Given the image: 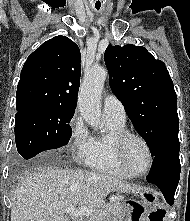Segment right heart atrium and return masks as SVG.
I'll return each mask as SVG.
<instances>
[{
  "label": "right heart atrium",
  "instance_id": "right-heart-atrium-1",
  "mask_svg": "<svg viewBox=\"0 0 190 221\" xmlns=\"http://www.w3.org/2000/svg\"><path fill=\"white\" fill-rule=\"evenodd\" d=\"M69 128V148L72 157L78 163H85L92 151L93 136L79 113L73 115Z\"/></svg>",
  "mask_w": 190,
  "mask_h": 221
}]
</instances>
